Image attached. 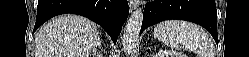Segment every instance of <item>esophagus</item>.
I'll list each match as a JSON object with an SVG mask.
<instances>
[{
	"label": "esophagus",
	"instance_id": "obj_1",
	"mask_svg": "<svg viewBox=\"0 0 249 57\" xmlns=\"http://www.w3.org/2000/svg\"><path fill=\"white\" fill-rule=\"evenodd\" d=\"M141 1L139 0H130L129 1V8L131 11H133L135 8H137L140 5Z\"/></svg>",
	"mask_w": 249,
	"mask_h": 57
}]
</instances>
